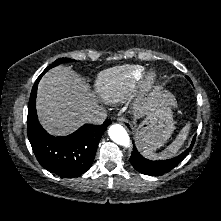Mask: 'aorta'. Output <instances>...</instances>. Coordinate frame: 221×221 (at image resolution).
<instances>
[{
    "label": "aorta",
    "mask_w": 221,
    "mask_h": 221,
    "mask_svg": "<svg viewBox=\"0 0 221 221\" xmlns=\"http://www.w3.org/2000/svg\"><path fill=\"white\" fill-rule=\"evenodd\" d=\"M109 137L115 143L124 147H130V137L123 126L120 124H113L108 130Z\"/></svg>",
    "instance_id": "762f6f07"
}]
</instances>
